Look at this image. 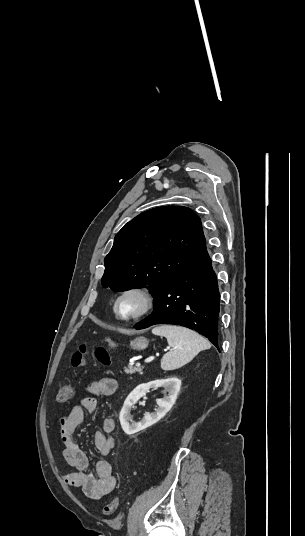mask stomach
Returning a JSON list of instances; mask_svg holds the SVG:
<instances>
[{"instance_id":"stomach-1","label":"stomach","mask_w":305,"mask_h":536,"mask_svg":"<svg viewBox=\"0 0 305 536\" xmlns=\"http://www.w3.org/2000/svg\"><path fill=\"white\" fill-rule=\"evenodd\" d=\"M108 346L109 348H116V344L115 342H112V340H108ZM130 346L133 348V350H146V348H148V342L146 338H142V336H140V338H135V340L131 342Z\"/></svg>"}]
</instances>
